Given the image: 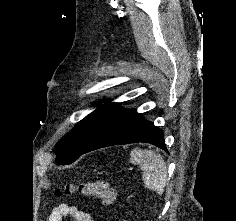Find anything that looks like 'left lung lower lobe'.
I'll return each instance as SVG.
<instances>
[{
	"mask_svg": "<svg viewBox=\"0 0 236 221\" xmlns=\"http://www.w3.org/2000/svg\"><path fill=\"white\" fill-rule=\"evenodd\" d=\"M145 142L167 151L162 131L142 118L136 110H114L101 124L77 159L98 148Z\"/></svg>",
	"mask_w": 236,
	"mask_h": 221,
	"instance_id": "obj_1",
	"label": "left lung lower lobe"
}]
</instances>
